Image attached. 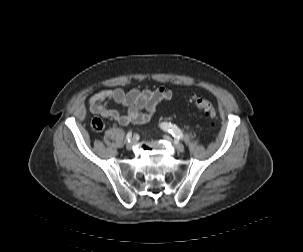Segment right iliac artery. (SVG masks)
Listing matches in <instances>:
<instances>
[{
  "label": "right iliac artery",
  "mask_w": 303,
  "mask_h": 252,
  "mask_svg": "<svg viewBox=\"0 0 303 252\" xmlns=\"http://www.w3.org/2000/svg\"><path fill=\"white\" fill-rule=\"evenodd\" d=\"M130 140H131V132H129V133L127 134L125 142H128V143H129Z\"/></svg>",
  "instance_id": "right-iliac-artery-1"
}]
</instances>
